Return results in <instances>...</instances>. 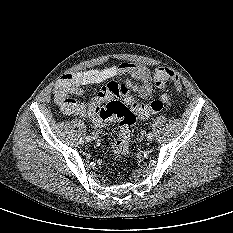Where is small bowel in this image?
Listing matches in <instances>:
<instances>
[{"mask_svg": "<svg viewBox=\"0 0 233 233\" xmlns=\"http://www.w3.org/2000/svg\"><path fill=\"white\" fill-rule=\"evenodd\" d=\"M125 75L130 76L133 80H128L124 84H119L114 81L108 82L91 100L88 106L71 97L81 95L87 86L101 84L114 77ZM122 87H125L128 94L135 92L141 98H148L153 90L151 71L144 65L131 62H124L102 69H88L64 75L55 86L53 93L55 102L63 113L91 118V107L122 97ZM94 123L97 125L104 124Z\"/></svg>", "mask_w": 233, "mask_h": 233, "instance_id": "1", "label": "small bowel"}]
</instances>
